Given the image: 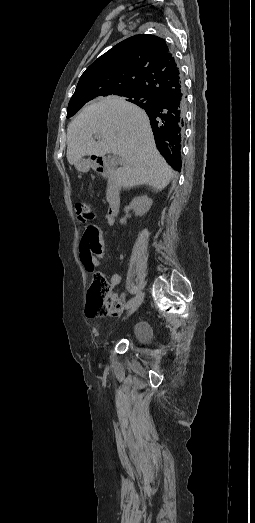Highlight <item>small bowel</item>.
<instances>
[{"label": "small bowel", "instance_id": "c3829d8e", "mask_svg": "<svg viewBox=\"0 0 255 523\" xmlns=\"http://www.w3.org/2000/svg\"><path fill=\"white\" fill-rule=\"evenodd\" d=\"M93 218H96V216L93 215ZM105 221L110 224L107 216ZM79 256L87 272H93L100 265V260L104 257V241L102 231L96 224L88 223L85 225L79 247ZM110 281L112 285H118L121 277L114 273L111 275ZM123 299L124 296L122 295L120 297L121 304Z\"/></svg>", "mask_w": 255, "mask_h": 523}]
</instances>
